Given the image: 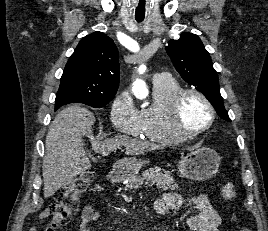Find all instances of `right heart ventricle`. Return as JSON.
Instances as JSON below:
<instances>
[{
    "mask_svg": "<svg viewBox=\"0 0 268 231\" xmlns=\"http://www.w3.org/2000/svg\"><path fill=\"white\" fill-rule=\"evenodd\" d=\"M181 89L180 83L174 78L153 81V102L140 109L142 135L145 139L158 144H173L181 140L172 131L169 121L170 102Z\"/></svg>",
    "mask_w": 268,
    "mask_h": 231,
    "instance_id": "obj_1",
    "label": "right heart ventricle"
}]
</instances>
